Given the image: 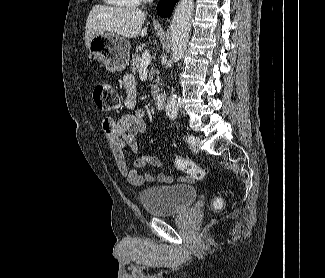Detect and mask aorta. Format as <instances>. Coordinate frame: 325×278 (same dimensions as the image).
Returning a JSON list of instances; mask_svg holds the SVG:
<instances>
[{"mask_svg":"<svg viewBox=\"0 0 325 278\" xmlns=\"http://www.w3.org/2000/svg\"><path fill=\"white\" fill-rule=\"evenodd\" d=\"M194 13L193 0H181L177 5L171 22V56L172 61L178 62L182 59L188 45L191 30V20ZM180 100L173 95L166 105V115L170 119L177 117Z\"/></svg>","mask_w":325,"mask_h":278,"instance_id":"obj_1","label":"aorta"}]
</instances>
